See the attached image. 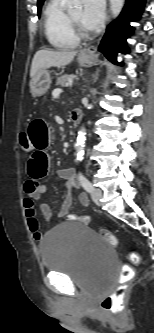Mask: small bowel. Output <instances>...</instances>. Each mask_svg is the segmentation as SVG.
<instances>
[{
  "label": "small bowel",
  "mask_w": 154,
  "mask_h": 333,
  "mask_svg": "<svg viewBox=\"0 0 154 333\" xmlns=\"http://www.w3.org/2000/svg\"><path fill=\"white\" fill-rule=\"evenodd\" d=\"M27 134L32 147V153L27 163L29 179L24 183V192L27 195V199L24 201V208L32 236L34 240L40 241L42 234L35 215L34 201H39L46 191V186L41 180L49 171L48 149L51 143V132L44 120L35 119L30 123ZM56 174L65 181V185L69 191L57 213L58 217L63 218L69 214L72 204V192L79 188V184L72 168H60ZM78 200L83 206L89 204V200L84 193L79 194ZM39 209L46 221L52 220L53 213L47 203L41 202Z\"/></svg>",
  "instance_id": "c3829d8e"
}]
</instances>
